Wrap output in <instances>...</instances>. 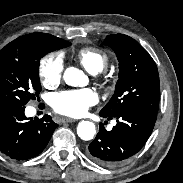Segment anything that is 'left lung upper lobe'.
I'll return each mask as SVG.
<instances>
[{"label":"left lung upper lobe","instance_id":"obj_1","mask_svg":"<svg viewBox=\"0 0 183 183\" xmlns=\"http://www.w3.org/2000/svg\"><path fill=\"white\" fill-rule=\"evenodd\" d=\"M119 61V79L111 100L100 111L112 117L126 110L157 114L159 74L149 53L133 38L124 34L109 35L104 42Z\"/></svg>","mask_w":183,"mask_h":183}]
</instances>
